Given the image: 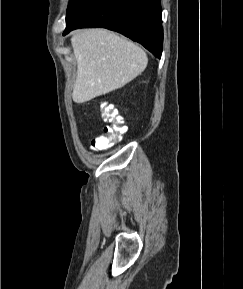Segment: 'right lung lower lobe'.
I'll return each mask as SVG.
<instances>
[{"label": "right lung lower lobe", "mask_w": 243, "mask_h": 289, "mask_svg": "<svg viewBox=\"0 0 243 289\" xmlns=\"http://www.w3.org/2000/svg\"><path fill=\"white\" fill-rule=\"evenodd\" d=\"M160 0H81L66 18L64 35L83 27L117 31L160 58L163 28Z\"/></svg>", "instance_id": "98d812e1"}]
</instances>
